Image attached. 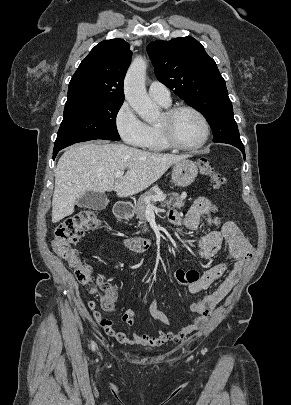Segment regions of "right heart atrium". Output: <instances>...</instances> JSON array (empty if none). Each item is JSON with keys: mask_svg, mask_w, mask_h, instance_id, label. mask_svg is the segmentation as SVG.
<instances>
[{"mask_svg": "<svg viewBox=\"0 0 291 405\" xmlns=\"http://www.w3.org/2000/svg\"><path fill=\"white\" fill-rule=\"evenodd\" d=\"M114 123L118 134L126 144L143 147L147 138V124L138 117L128 102L120 105Z\"/></svg>", "mask_w": 291, "mask_h": 405, "instance_id": "1", "label": "right heart atrium"}]
</instances>
